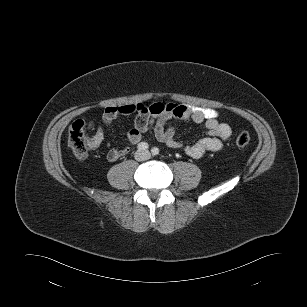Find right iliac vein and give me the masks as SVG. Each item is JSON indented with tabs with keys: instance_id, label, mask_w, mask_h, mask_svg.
<instances>
[{
	"instance_id": "right-iliac-vein-1",
	"label": "right iliac vein",
	"mask_w": 307,
	"mask_h": 307,
	"mask_svg": "<svg viewBox=\"0 0 307 307\" xmlns=\"http://www.w3.org/2000/svg\"><path fill=\"white\" fill-rule=\"evenodd\" d=\"M143 156V153H141V152H138L137 154H136V157L137 158H141Z\"/></svg>"
}]
</instances>
